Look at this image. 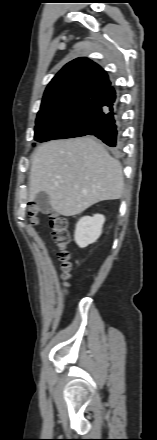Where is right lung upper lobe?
Masks as SVG:
<instances>
[{"instance_id":"obj_1","label":"right lung upper lobe","mask_w":157,"mask_h":440,"mask_svg":"<svg viewBox=\"0 0 157 440\" xmlns=\"http://www.w3.org/2000/svg\"><path fill=\"white\" fill-rule=\"evenodd\" d=\"M115 106V90L106 72L81 57L66 64L47 86L36 122L77 120L87 127Z\"/></svg>"}]
</instances>
